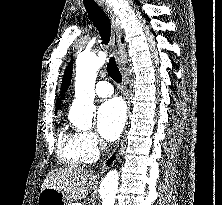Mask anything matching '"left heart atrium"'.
<instances>
[{
	"instance_id": "39dd6f15",
	"label": "left heart atrium",
	"mask_w": 222,
	"mask_h": 205,
	"mask_svg": "<svg viewBox=\"0 0 222 205\" xmlns=\"http://www.w3.org/2000/svg\"><path fill=\"white\" fill-rule=\"evenodd\" d=\"M126 122V110L118 98L110 99L98 109L97 125L101 136L109 141L116 140Z\"/></svg>"
}]
</instances>
